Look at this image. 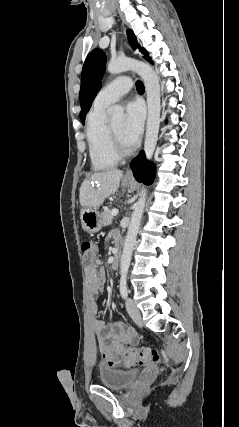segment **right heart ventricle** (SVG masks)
Segmentation results:
<instances>
[{
	"label": "right heart ventricle",
	"mask_w": 239,
	"mask_h": 427,
	"mask_svg": "<svg viewBox=\"0 0 239 427\" xmlns=\"http://www.w3.org/2000/svg\"><path fill=\"white\" fill-rule=\"evenodd\" d=\"M107 106L94 104L89 111L86 121V138L89 155L94 170L101 171L115 166L119 158L115 155L106 121Z\"/></svg>",
	"instance_id": "e07e8e85"
}]
</instances>
